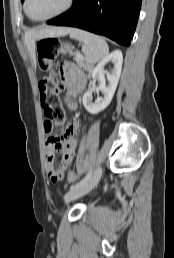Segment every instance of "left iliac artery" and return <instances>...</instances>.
Masks as SVG:
<instances>
[{
	"mask_svg": "<svg viewBox=\"0 0 174 258\" xmlns=\"http://www.w3.org/2000/svg\"><path fill=\"white\" fill-rule=\"evenodd\" d=\"M91 174H92V172L90 171L81 181H79L75 185H72L70 187V189L72 190V189L78 188V187L83 186L84 184H86L89 181V179L91 177Z\"/></svg>",
	"mask_w": 174,
	"mask_h": 258,
	"instance_id": "1",
	"label": "left iliac artery"
}]
</instances>
